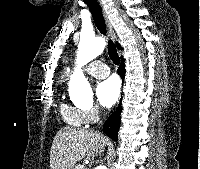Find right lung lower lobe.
I'll use <instances>...</instances> for the list:
<instances>
[{"instance_id":"98d812e1","label":"right lung lower lobe","mask_w":200,"mask_h":169,"mask_svg":"<svg viewBox=\"0 0 200 169\" xmlns=\"http://www.w3.org/2000/svg\"><path fill=\"white\" fill-rule=\"evenodd\" d=\"M125 72L124 59L122 58V63L118 68V74L120 75L122 80L124 78ZM120 113L121 106L119 105L116 111L107 119V121L103 125L105 134L112 139H116L118 135V130L120 126Z\"/></svg>"}]
</instances>
